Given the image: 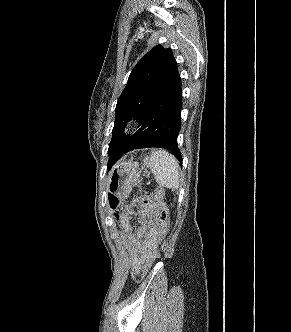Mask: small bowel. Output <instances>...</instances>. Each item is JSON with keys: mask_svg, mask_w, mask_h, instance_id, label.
<instances>
[{"mask_svg": "<svg viewBox=\"0 0 291 332\" xmlns=\"http://www.w3.org/2000/svg\"><path fill=\"white\" fill-rule=\"evenodd\" d=\"M123 229L129 234V241L137 248V263L149 258L160 236V227H139L133 229L128 222L123 223Z\"/></svg>", "mask_w": 291, "mask_h": 332, "instance_id": "small-bowel-1", "label": "small bowel"}]
</instances>
